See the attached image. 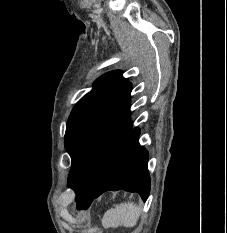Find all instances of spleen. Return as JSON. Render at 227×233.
Instances as JSON below:
<instances>
[{"label": "spleen", "mask_w": 227, "mask_h": 233, "mask_svg": "<svg viewBox=\"0 0 227 233\" xmlns=\"http://www.w3.org/2000/svg\"><path fill=\"white\" fill-rule=\"evenodd\" d=\"M141 213V207L132 202H125L116 205L115 208L108 210L102 219L105 228L119 226L133 227L136 225Z\"/></svg>", "instance_id": "obj_1"}]
</instances>
